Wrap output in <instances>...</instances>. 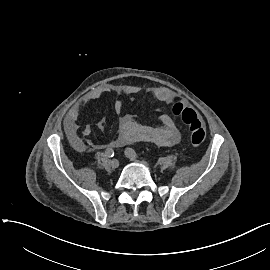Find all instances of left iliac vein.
Listing matches in <instances>:
<instances>
[{
	"mask_svg": "<svg viewBox=\"0 0 270 270\" xmlns=\"http://www.w3.org/2000/svg\"><path fill=\"white\" fill-rule=\"evenodd\" d=\"M126 156L131 160V161H134V162H138V163H141V164H144V165H148L147 161L143 160V159H138L134 156H131L130 154L128 153H125Z\"/></svg>",
	"mask_w": 270,
	"mask_h": 270,
	"instance_id": "1",
	"label": "left iliac vein"
}]
</instances>
